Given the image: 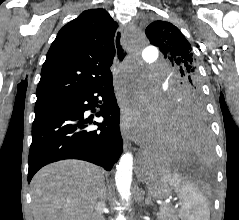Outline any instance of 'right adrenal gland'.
I'll return each mask as SVG.
<instances>
[{
  "instance_id": "right-adrenal-gland-1",
  "label": "right adrenal gland",
  "mask_w": 239,
  "mask_h": 220,
  "mask_svg": "<svg viewBox=\"0 0 239 220\" xmlns=\"http://www.w3.org/2000/svg\"><path fill=\"white\" fill-rule=\"evenodd\" d=\"M99 196H100L101 199L105 198V196H106V186L105 185H103V187H102V189L99 193Z\"/></svg>"
}]
</instances>
